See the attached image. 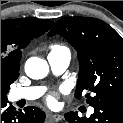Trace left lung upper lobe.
<instances>
[{"label":"left lung upper lobe","mask_w":123,"mask_h":123,"mask_svg":"<svg viewBox=\"0 0 123 123\" xmlns=\"http://www.w3.org/2000/svg\"><path fill=\"white\" fill-rule=\"evenodd\" d=\"M59 34L76 49L79 78L75 96L91 91L87 103L94 107L106 100L123 102V39L105 22L88 17L58 20L49 36Z\"/></svg>","instance_id":"left-lung-upper-lobe-1"}]
</instances>
